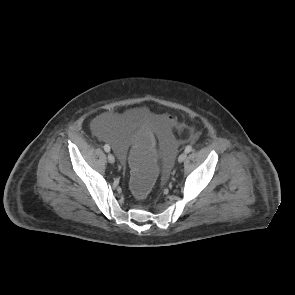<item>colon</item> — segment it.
I'll use <instances>...</instances> for the list:
<instances>
[{
  "instance_id": "colon-1",
  "label": "colon",
  "mask_w": 295,
  "mask_h": 295,
  "mask_svg": "<svg viewBox=\"0 0 295 295\" xmlns=\"http://www.w3.org/2000/svg\"><path fill=\"white\" fill-rule=\"evenodd\" d=\"M134 120H147V113H134ZM128 119L127 125L133 126L134 120ZM167 120L173 119L172 113L166 114ZM134 147L131 149V158L137 162L131 170V184L135 187V194L142 198L154 183L156 168V150L153 141V132L146 127L140 128L135 135Z\"/></svg>"
}]
</instances>
